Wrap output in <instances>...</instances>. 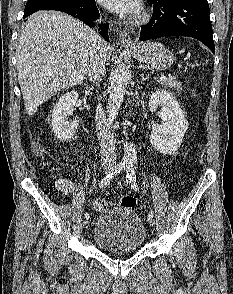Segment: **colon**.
Instances as JSON below:
<instances>
[{
    "label": "colon",
    "mask_w": 233,
    "mask_h": 294,
    "mask_svg": "<svg viewBox=\"0 0 233 294\" xmlns=\"http://www.w3.org/2000/svg\"><path fill=\"white\" fill-rule=\"evenodd\" d=\"M35 150L37 152L42 151L41 147L38 145L35 146ZM119 204H120V206H123V207L133 208L136 205V200L134 197H132L130 195H124L120 198ZM94 207L98 210H102V209H105L107 207V205H106V203H95Z\"/></svg>",
    "instance_id": "obj_1"
}]
</instances>
